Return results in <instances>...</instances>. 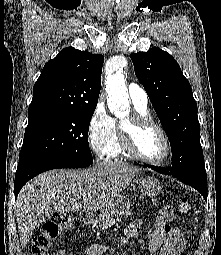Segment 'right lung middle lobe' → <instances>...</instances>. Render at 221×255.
Masks as SVG:
<instances>
[{"label": "right lung middle lobe", "instance_id": "obj_1", "mask_svg": "<svg viewBox=\"0 0 221 255\" xmlns=\"http://www.w3.org/2000/svg\"><path fill=\"white\" fill-rule=\"evenodd\" d=\"M94 110L49 109L29 113L19 158L38 155L92 164L87 136Z\"/></svg>", "mask_w": 221, "mask_h": 255}]
</instances>
